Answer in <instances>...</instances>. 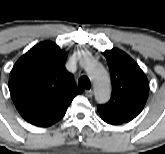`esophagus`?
Masks as SVG:
<instances>
[{
  "label": "esophagus",
  "instance_id": "1",
  "mask_svg": "<svg viewBox=\"0 0 165 154\" xmlns=\"http://www.w3.org/2000/svg\"><path fill=\"white\" fill-rule=\"evenodd\" d=\"M85 95L89 98L92 97L93 96V90H85Z\"/></svg>",
  "mask_w": 165,
  "mask_h": 154
}]
</instances>
